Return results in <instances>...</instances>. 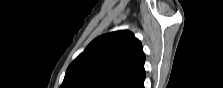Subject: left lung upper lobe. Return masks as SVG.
<instances>
[{
  "mask_svg": "<svg viewBox=\"0 0 223 88\" xmlns=\"http://www.w3.org/2000/svg\"><path fill=\"white\" fill-rule=\"evenodd\" d=\"M144 61L132 32L105 34L69 65L60 88H138L145 79Z\"/></svg>",
  "mask_w": 223,
  "mask_h": 88,
  "instance_id": "obj_1",
  "label": "left lung upper lobe"
}]
</instances>
